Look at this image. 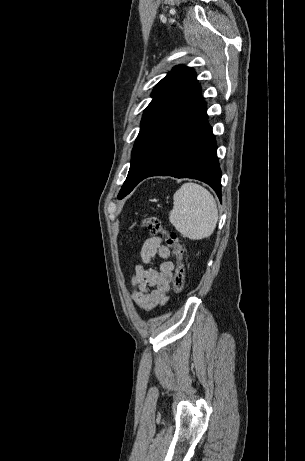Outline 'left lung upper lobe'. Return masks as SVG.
I'll return each instance as SVG.
<instances>
[{
    "instance_id": "5c2ea615",
    "label": "left lung upper lobe",
    "mask_w": 305,
    "mask_h": 461,
    "mask_svg": "<svg viewBox=\"0 0 305 461\" xmlns=\"http://www.w3.org/2000/svg\"><path fill=\"white\" fill-rule=\"evenodd\" d=\"M198 85L194 70L179 65L155 86L151 94L153 100L143 114L140 132L132 150L130 169L118 194L119 199L129 194L136 182L147 172L151 162L152 140L156 132Z\"/></svg>"
}]
</instances>
